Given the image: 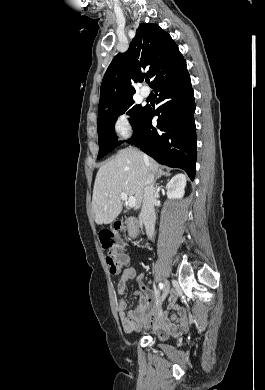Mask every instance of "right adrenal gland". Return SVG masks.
<instances>
[{
  "label": "right adrenal gland",
  "instance_id": "1",
  "mask_svg": "<svg viewBox=\"0 0 265 390\" xmlns=\"http://www.w3.org/2000/svg\"><path fill=\"white\" fill-rule=\"evenodd\" d=\"M162 176L168 177V176H170V173L165 172V171H163L162 169H159L158 172H157V176H156L154 182H156V181H157L159 178H161Z\"/></svg>",
  "mask_w": 265,
  "mask_h": 390
}]
</instances>
